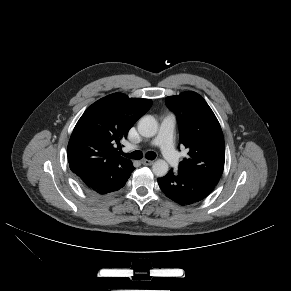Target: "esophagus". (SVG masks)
<instances>
[{
  "label": "esophagus",
  "instance_id": "esophagus-1",
  "mask_svg": "<svg viewBox=\"0 0 291 291\" xmlns=\"http://www.w3.org/2000/svg\"><path fill=\"white\" fill-rule=\"evenodd\" d=\"M141 162H142L143 165H152L153 164V161L152 160H148V159H143Z\"/></svg>",
  "mask_w": 291,
  "mask_h": 291
}]
</instances>
